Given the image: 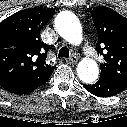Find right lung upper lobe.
Returning a JSON list of instances; mask_svg holds the SVG:
<instances>
[{
	"instance_id": "right-lung-upper-lobe-1",
	"label": "right lung upper lobe",
	"mask_w": 127,
	"mask_h": 127,
	"mask_svg": "<svg viewBox=\"0 0 127 127\" xmlns=\"http://www.w3.org/2000/svg\"><path fill=\"white\" fill-rule=\"evenodd\" d=\"M55 9L28 8L0 23V84L11 80L39 81L55 66L46 63L49 46L41 42L40 31Z\"/></svg>"
}]
</instances>
